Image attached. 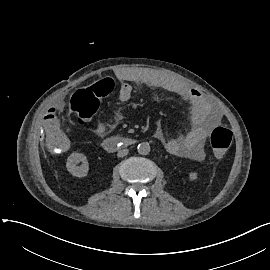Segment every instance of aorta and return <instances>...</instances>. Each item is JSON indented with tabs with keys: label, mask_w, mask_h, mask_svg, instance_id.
<instances>
[{
	"label": "aorta",
	"mask_w": 270,
	"mask_h": 270,
	"mask_svg": "<svg viewBox=\"0 0 270 270\" xmlns=\"http://www.w3.org/2000/svg\"><path fill=\"white\" fill-rule=\"evenodd\" d=\"M137 150L140 155H147L149 154L151 148L148 142H142L138 144Z\"/></svg>",
	"instance_id": "obj_1"
}]
</instances>
